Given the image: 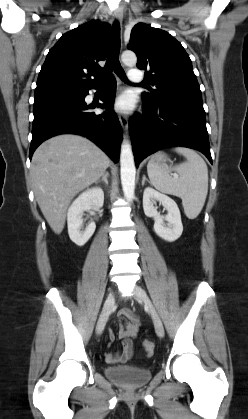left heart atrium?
Listing matches in <instances>:
<instances>
[{
  "instance_id": "39dd6f15",
  "label": "left heart atrium",
  "mask_w": 248,
  "mask_h": 419,
  "mask_svg": "<svg viewBox=\"0 0 248 419\" xmlns=\"http://www.w3.org/2000/svg\"><path fill=\"white\" fill-rule=\"evenodd\" d=\"M134 106V97L131 93L122 94L116 101V107L122 111H128Z\"/></svg>"
}]
</instances>
